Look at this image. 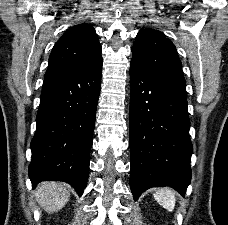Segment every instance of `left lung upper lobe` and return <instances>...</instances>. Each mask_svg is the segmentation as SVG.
I'll return each instance as SVG.
<instances>
[{"instance_id": "obj_1", "label": "left lung upper lobe", "mask_w": 228, "mask_h": 225, "mask_svg": "<svg viewBox=\"0 0 228 225\" xmlns=\"http://www.w3.org/2000/svg\"><path fill=\"white\" fill-rule=\"evenodd\" d=\"M132 54L131 62L149 74L185 82L176 47L162 32L152 28L141 29Z\"/></svg>"}]
</instances>
